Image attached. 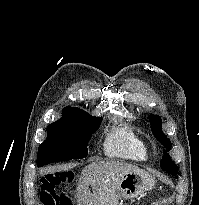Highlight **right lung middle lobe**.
Here are the masks:
<instances>
[{
  "label": "right lung middle lobe",
  "instance_id": "right-lung-middle-lobe-1",
  "mask_svg": "<svg viewBox=\"0 0 199 205\" xmlns=\"http://www.w3.org/2000/svg\"><path fill=\"white\" fill-rule=\"evenodd\" d=\"M101 120L76 107L64 108L62 118L47 127V138L38 149V167L86 157L88 141Z\"/></svg>",
  "mask_w": 199,
  "mask_h": 205
}]
</instances>
